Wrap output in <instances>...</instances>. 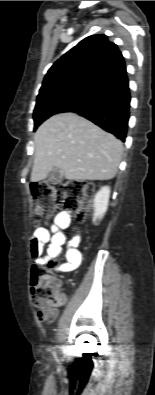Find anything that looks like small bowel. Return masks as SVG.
I'll return each mask as SVG.
<instances>
[{
    "instance_id": "small-bowel-1",
    "label": "small bowel",
    "mask_w": 155,
    "mask_h": 395,
    "mask_svg": "<svg viewBox=\"0 0 155 395\" xmlns=\"http://www.w3.org/2000/svg\"><path fill=\"white\" fill-rule=\"evenodd\" d=\"M70 216L67 212H59L50 228H38L35 230L33 237L29 241V258L34 260V266H45V259H39L41 254H44L45 246L49 243L47 248L46 258H55L61 252L62 246L67 244L66 262L58 266L57 270L60 272H69L76 269L82 261L81 252L78 250L80 243L79 238L66 241L63 230L68 227ZM57 309H45L38 312V317L43 322H52L57 317Z\"/></svg>"
}]
</instances>
